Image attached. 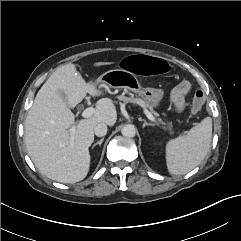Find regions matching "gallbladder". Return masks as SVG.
<instances>
[{
	"label": "gallbladder",
	"mask_w": 241,
	"mask_h": 241,
	"mask_svg": "<svg viewBox=\"0 0 241 241\" xmlns=\"http://www.w3.org/2000/svg\"><path fill=\"white\" fill-rule=\"evenodd\" d=\"M61 96L65 99V95L64 94H61Z\"/></svg>",
	"instance_id": "1"
}]
</instances>
